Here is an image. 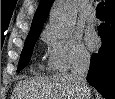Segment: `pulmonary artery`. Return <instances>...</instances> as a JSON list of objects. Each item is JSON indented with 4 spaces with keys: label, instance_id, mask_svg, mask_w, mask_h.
Listing matches in <instances>:
<instances>
[{
    "label": "pulmonary artery",
    "instance_id": "e3ab8cb5",
    "mask_svg": "<svg viewBox=\"0 0 115 99\" xmlns=\"http://www.w3.org/2000/svg\"><path fill=\"white\" fill-rule=\"evenodd\" d=\"M86 20L89 24H95L97 23V17L94 13V11H90L87 16H86Z\"/></svg>",
    "mask_w": 115,
    "mask_h": 99
}]
</instances>
